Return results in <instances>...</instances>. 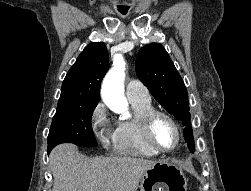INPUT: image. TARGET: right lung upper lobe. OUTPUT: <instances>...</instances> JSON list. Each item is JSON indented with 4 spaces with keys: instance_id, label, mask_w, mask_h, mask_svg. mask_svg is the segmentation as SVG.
<instances>
[{
    "instance_id": "obj_1",
    "label": "right lung upper lobe",
    "mask_w": 251,
    "mask_h": 191,
    "mask_svg": "<svg viewBox=\"0 0 251 191\" xmlns=\"http://www.w3.org/2000/svg\"><path fill=\"white\" fill-rule=\"evenodd\" d=\"M109 69L103 42L88 44L68 71L57 108L98 104L101 80Z\"/></svg>"
}]
</instances>
